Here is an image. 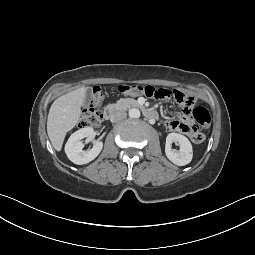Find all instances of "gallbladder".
<instances>
[{"instance_id": "obj_1", "label": "gallbladder", "mask_w": 255, "mask_h": 255, "mask_svg": "<svg viewBox=\"0 0 255 255\" xmlns=\"http://www.w3.org/2000/svg\"><path fill=\"white\" fill-rule=\"evenodd\" d=\"M91 95H92V92L90 90H87L86 93H85V99H84L83 105L88 104V102L91 98Z\"/></svg>"}]
</instances>
